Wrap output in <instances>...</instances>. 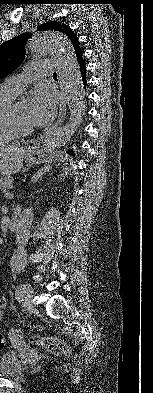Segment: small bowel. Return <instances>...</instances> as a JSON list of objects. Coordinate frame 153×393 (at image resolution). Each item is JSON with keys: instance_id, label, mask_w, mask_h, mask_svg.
<instances>
[{"instance_id": "small-bowel-1", "label": "small bowel", "mask_w": 153, "mask_h": 393, "mask_svg": "<svg viewBox=\"0 0 153 393\" xmlns=\"http://www.w3.org/2000/svg\"><path fill=\"white\" fill-rule=\"evenodd\" d=\"M7 306V299L6 298H2L0 300V320L2 319V316L4 314V310Z\"/></svg>"}]
</instances>
